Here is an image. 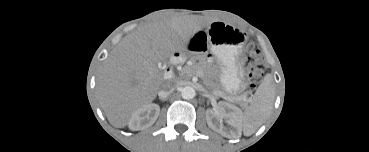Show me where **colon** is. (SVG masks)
I'll use <instances>...</instances> for the list:
<instances>
[{
	"label": "colon",
	"instance_id": "colon-1",
	"mask_svg": "<svg viewBox=\"0 0 369 152\" xmlns=\"http://www.w3.org/2000/svg\"><path fill=\"white\" fill-rule=\"evenodd\" d=\"M243 63L251 85L255 86L264 73V64L260 50L252 48L249 54L243 58Z\"/></svg>",
	"mask_w": 369,
	"mask_h": 152
}]
</instances>
